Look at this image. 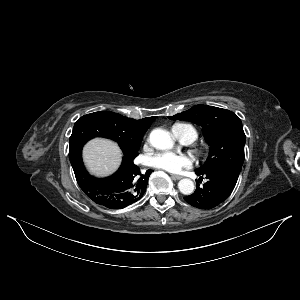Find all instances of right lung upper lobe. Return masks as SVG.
<instances>
[{
    "instance_id": "1",
    "label": "right lung upper lobe",
    "mask_w": 300,
    "mask_h": 300,
    "mask_svg": "<svg viewBox=\"0 0 300 300\" xmlns=\"http://www.w3.org/2000/svg\"><path fill=\"white\" fill-rule=\"evenodd\" d=\"M112 126L114 134L126 141L142 139L144 133L153 123L156 117H147L140 120L124 117L110 111L98 112Z\"/></svg>"
}]
</instances>
